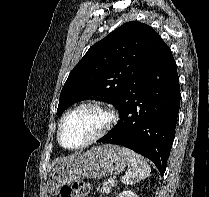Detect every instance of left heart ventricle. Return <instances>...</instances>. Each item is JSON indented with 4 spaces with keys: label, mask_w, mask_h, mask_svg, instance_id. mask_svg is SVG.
Wrapping results in <instances>:
<instances>
[{
    "label": "left heart ventricle",
    "mask_w": 209,
    "mask_h": 197,
    "mask_svg": "<svg viewBox=\"0 0 209 197\" xmlns=\"http://www.w3.org/2000/svg\"><path fill=\"white\" fill-rule=\"evenodd\" d=\"M107 120L106 114L93 107L82 108L66 120L61 138L67 147H73L86 141L98 132Z\"/></svg>",
    "instance_id": "1"
}]
</instances>
